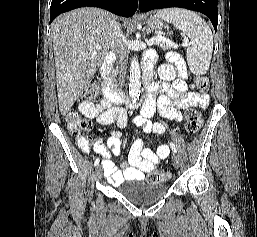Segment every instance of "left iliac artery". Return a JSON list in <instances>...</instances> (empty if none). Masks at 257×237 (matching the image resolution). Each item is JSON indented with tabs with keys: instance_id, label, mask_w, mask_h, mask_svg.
Masks as SVG:
<instances>
[{
	"instance_id": "obj_1",
	"label": "left iliac artery",
	"mask_w": 257,
	"mask_h": 237,
	"mask_svg": "<svg viewBox=\"0 0 257 237\" xmlns=\"http://www.w3.org/2000/svg\"><path fill=\"white\" fill-rule=\"evenodd\" d=\"M169 145H170L172 151H173L174 153H177V148H176V146H175L172 142H170Z\"/></svg>"
}]
</instances>
